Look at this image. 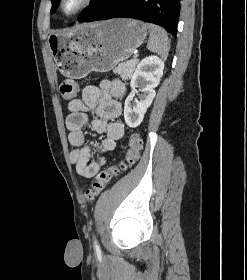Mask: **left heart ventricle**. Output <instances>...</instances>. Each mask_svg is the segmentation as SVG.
<instances>
[{
    "label": "left heart ventricle",
    "instance_id": "left-heart-ventricle-1",
    "mask_svg": "<svg viewBox=\"0 0 247 280\" xmlns=\"http://www.w3.org/2000/svg\"><path fill=\"white\" fill-rule=\"evenodd\" d=\"M78 1L79 0H69L66 4V11L70 12V11L74 10L79 3Z\"/></svg>",
    "mask_w": 247,
    "mask_h": 280
}]
</instances>
